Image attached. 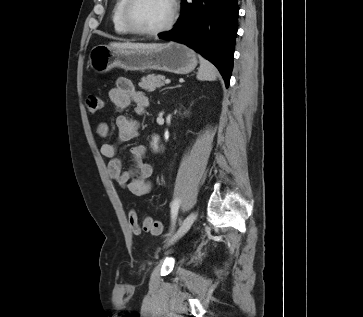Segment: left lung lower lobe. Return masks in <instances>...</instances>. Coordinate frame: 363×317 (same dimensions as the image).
I'll list each match as a JSON object with an SVG mask.
<instances>
[{"instance_id": "obj_1", "label": "left lung lower lobe", "mask_w": 363, "mask_h": 317, "mask_svg": "<svg viewBox=\"0 0 363 317\" xmlns=\"http://www.w3.org/2000/svg\"><path fill=\"white\" fill-rule=\"evenodd\" d=\"M237 0H182L173 29L158 36L186 44L211 61L229 86L237 34Z\"/></svg>"}]
</instances>
